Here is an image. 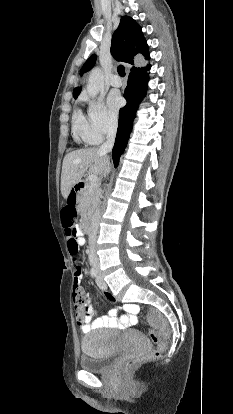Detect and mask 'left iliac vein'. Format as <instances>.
Masks as SVG:
<instances>
[{
    "label": "left iliac vein",
    "instance_id": "obj_1",
    "mask_svg": "<svg viewBox=\"0 0 233 414\" xmlns=\"http://www.w3.org/2000/svg\"><path fill=\"white\" fill-rule=\"evenodd\" d=\"M96 283L99 286L100 289H106L107 285L105 281L103 280V277L99 270H97V277H96Z\"/></svg>",
    "mask_w": 233,
    "mask_h": 414
}]
</instances>
